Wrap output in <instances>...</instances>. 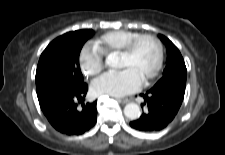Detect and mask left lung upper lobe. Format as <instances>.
I'll return each instance as SVG.
<instances>
[{"label": "left lung upper lobe", "mask_w": 225, "mask_h": 155, "mask_svg": "<svg viewBox=\"0 0 225 155\" xmlns=\"http://www.w3.org/2000/svg\"><path fill=\"white\" fill-rule=\"evenodd\" d=\"M167 50V64L162 78L153 88H172L186 86L187 69L178 48L165 36L159 35Z\"/></svg>", "instance_id": "1"}]
</instances>
